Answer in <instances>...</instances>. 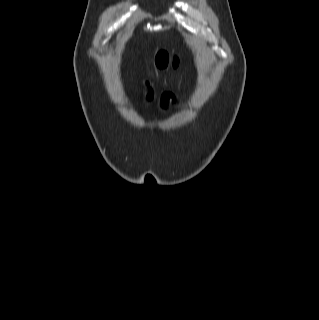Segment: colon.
Listing matches in <instances>:
<instances>
[{
  "label": "colon",
  "instance_id": "colon-1",
  "mask_svg": "<svg viewBox=\"0 0 319 320\" xmlns=\"http://www.w3.org/2000/svg\"><path fill=\"white\" fill-rule=\"evenodd\" d=\"M156 64L160 68L167 67L169 65L177 66L179 61L177 58H171L165 51H160L155 58Z\"/></svg>",
  "mask_w": 319,
  "mask_h": 320
}]
</instances>
